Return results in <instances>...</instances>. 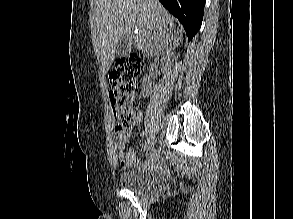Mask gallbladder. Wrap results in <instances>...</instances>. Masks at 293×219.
<instances>
[{"instance_id": "gallbladder-1", "label": "gallbladder", "mask_w": 293, "mask_h": 219, "mask_svg": "<svg viewBox=\"0 0 293 219\" xmlns=\"http://www.w3.org/2000/svg\"><path fill=\"white\" fill-rule=\"evenodd\" d=\"M134 47L133 36L125 35L120 38L117 45V56L118 57H127Z\"/></svg>"}]
</instances>
